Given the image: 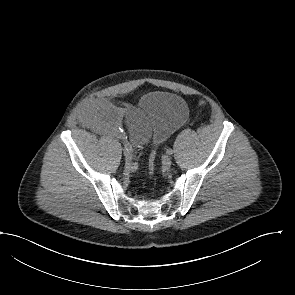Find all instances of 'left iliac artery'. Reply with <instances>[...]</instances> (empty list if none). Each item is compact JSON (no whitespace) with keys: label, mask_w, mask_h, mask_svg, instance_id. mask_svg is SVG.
Segmentation results:
<instances>
[{"label":"left iliac artery","mask_w":295,"mask_h":295,"mask_svg":"<svg viewBox=\"0 0 295 295\" xmlns=\"http://www.w3.org/2000/svg\"><path fill=\"white\" fill-rule=\"evenodd\" d=\"M166 153H167L168 155H172V154H173V150H172L171 148H169V149H167Z\"/></svg>","instance_id":"left-iliac-artery-1"}]
</instances>
